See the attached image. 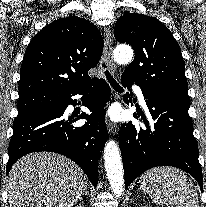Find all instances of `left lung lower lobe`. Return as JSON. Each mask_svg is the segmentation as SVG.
Returning <instances> with one entry per match:
<instances>
[{
	"instance_id": "1",
	"label": "left lung lower lobe",
	"mask_w": 206,
	"mask_h": 207,
	"mask_svg": "<svg viewBox=\"0 0 206 207\" xmlns=\"http://www.w3.org/2000/svg\"><path fill=\"white\" fill-rule=\"evenodd\" d=\"M121 82L130 90V94L123 97L125 102H132L130 87L133 82L123 76ZM142 93L149 111L147 115L137 112L133 116H140L146 128L136 127L129 122L121 126L119 133L125 189L150 168L173 166L191 174L203 191L198 148L188 114L190 100L144 90ZM148 119L154 120V125L149 126Z\"/></svg>"
}]
</instances>
